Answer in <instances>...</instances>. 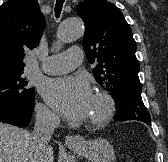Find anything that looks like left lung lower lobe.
Returning a JSON list of instances; mask_svg holds the SVG:
<instances>
[{
  "label": "left lung lower lobe",
  "instance_id": "left-lung-lower-lobe-1",
  "mask_svg": "<svg viewBox=\"0 0 168 162\" xmlns=\"http://www.w3.org/2000/svg\"><path fill=\"white\" fill-rule=\"evenodd\" d=\"M140 96H130L121 101H115L118 110L115 120H137L151 125V118Z\"/></svg>",
  "mask_w": 168,
  "mask_h": 162
}]
</instances>
